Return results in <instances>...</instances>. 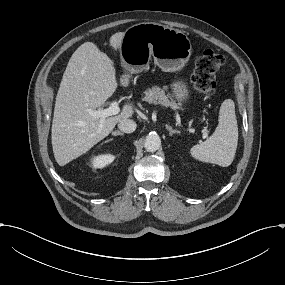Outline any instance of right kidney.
Masks as SVG:
<instances>
[{
    "label": "right kidney",
    "mask_w": 285,
    "mask_h": 285,
    "mask_svg": "<svg viewBox=\"0 0 285 285\" xmlns=\"http://www.w3.org/2000/svg\"><path fill=\"white\" fill-rule=\"evenodd\" d=\"M114 160V157L111 155H106V156H99L95 159H93L92 163L93 166L96 168H101L104 167L105 165L111 163Z\"/></svg>",
    "instance_id": "right-kidney-1"
}]
</instances>
